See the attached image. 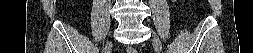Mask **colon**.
<instances>
[{
	"label": "colon",
	"instance_id": "1",
	"mask_svg": "<svg viewBox=\"0 0 253 53\" xmlns=\"http://www.w3.org/2000/svg\"><path fill=\"white\" fill-rule=\"evenodd\" d=\"M128 52H135V50L133 48H129Z\"/></svg>",
	"mask_w": 253,
	"mask_h": 53
}]
</instances>
